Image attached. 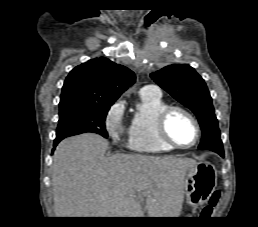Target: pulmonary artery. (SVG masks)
Wrapping results in <instances>:
<instances>
[{
	"mask_svg": "<svg viewBox=\"0 0 258 227\" xmlns=\"http://www.w3.org/2000/svg\"><path fill=\"white\" fill-rule=\"evenodd\" d=\"M141 93L161 95L160 89L154 85H147L141 88Z\"/></svg>",
	"mask_w": 258,
	"mask_h": 227,
	"instance_id": "1",
	"label": "pulmonary artery"
}]
</instances>
